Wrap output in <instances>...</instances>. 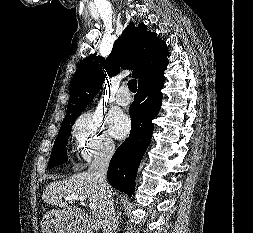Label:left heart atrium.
<instances>
[{"instance_id": "39dd6f15", "label": "left heart atrium", "mask_w": 253, "mask_h": 233, "mask_svg": "<svg viewBox=\"0 0 253 233\" xmlns=\"http://www.w3.org/2000/svg\"><path fill=\"white\" fill-rule=\"evenodd\" d=\"M110 133L117 139H123L130 131L131 124L129 119L121 113H112L108 118Z\"/></svg>"}]
</instances>
